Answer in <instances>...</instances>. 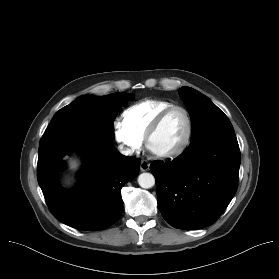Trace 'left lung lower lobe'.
<instances>
[{
	"label": "left lung lower lobe",
	"instance_id": "left-lung-lower-lobe-1",
	"mask_svg": "<svg viewBox=\"0 0 279 279\" xmlns=\"http://www.w3.org/2000/svg\"><path fill=\"white\" fill-rule=\"evenodd\" d=\"M240 161L235 132H217L190 142L171 162L151 164L164 219L185 230L212 225L236 193Z\"/></svg>",
	"mask_w": 279,
	"mask_h": 279
}]
</instances>
